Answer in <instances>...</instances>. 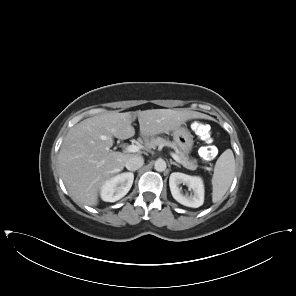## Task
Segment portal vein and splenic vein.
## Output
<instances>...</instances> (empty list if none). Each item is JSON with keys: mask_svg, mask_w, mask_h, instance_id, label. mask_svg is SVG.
Here are the masks:
<instances>
[{"mask_svg": "<svg viewBox=\"0 0 296 296\" xmlns=\"http://www.w3.org/2000/svg\"><path fill=\"white\" fill-rule=\"evenodd\" d=\"M139 150H140V147L137 146V145H134V144L129 145V146L126 147V151H127V152H130V153L138 152ZM171 156H172V158H173L176 162L181 163V160H180V158L178 157V155L172 153Z\"/></svg>", "mask_w": 296, "mask_h": 296, "instance_id": "portal-vein-and-splenic-vein-1", "label": "portal vein and splenic vein"}]
</instances>
